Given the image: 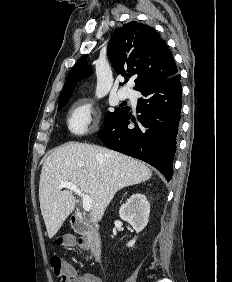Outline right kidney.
Listing matches in <instances>:
<instances>
[{"label": "right kidney", "mask_w": 232, "mask_h": 282, "mask_svg": "<svg viewBox=\"0 0 232 282\" xmlns=\"http://www.w3.org/2000/svg\"><path fill=\"white\" fill-rule=\"evenodd\" d=\"M150 204L145 195L141 193L133 194L126 203L122 204L119 216L127 221L134 228L136 233L141 232L148 223ZM136 238L127 243L128 247H133Z\"/></svg>", "instance_id": "1"}]
</instances>
